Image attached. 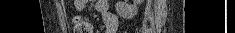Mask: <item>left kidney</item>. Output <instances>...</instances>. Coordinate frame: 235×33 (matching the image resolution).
Instances as JSON below:
<instances>
[{"instance_id": "left-kidney-1", "label": "left kidney", "mask_w": 235, "mask_h": 33, "mask_svg": "<svg viewBox=\"0 0 235 33\" xmlns=\"http://www.w3.org/2000/svg\"><path fill=\"white\" fill-rule=\"evenodd\" d=\"M144 0H134L132 5L127 4L125 1L118 0L115 9L120 17L132 19L138 12V5H141Z\"/></svg>"}]
</instances>
